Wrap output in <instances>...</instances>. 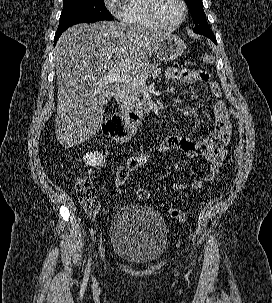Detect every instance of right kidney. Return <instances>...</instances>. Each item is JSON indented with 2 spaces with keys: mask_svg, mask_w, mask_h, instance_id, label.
<instances>
[{
  "mask_svg": "<svg viewBox=\"0 0 272 303\" xmlns=\"http://www.w3.org/2000/svg\"><path fill=\"white\" fill-rule=\"evenodd\" d=\"M83 160L85 164L92 166V167H99L103 161H104V156L102 153L95 151L94 153L90 152L87 153L84 157Z\"/></svg>",
  "mask_w": 272,
  "mask_h": 303,
  "instance_id": "ca27d5eb",
  "label": "right kidney"
}]
</instances>
